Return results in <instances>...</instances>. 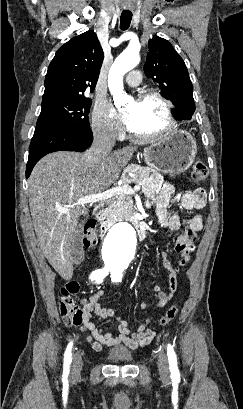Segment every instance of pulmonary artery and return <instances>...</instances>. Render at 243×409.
<instances>
[{
    "instance_id": "e3ab8cb5",
    "label": "pulmonary artery",
    "mask_w": 243,
    "mask_h": 409,
    "mask_svg": "<svg viewBox=\"0 0 243 409\" xmlns=\"http://www.w3.org/2000/svg\"><path fill=\"white\" fill-rule=\"evenodd\" d=\"M126 82L129 86L135 87L138 86L141 82V74L137 70H133L128 73L126 77Z\"/></svg>"
}]
</instances>
